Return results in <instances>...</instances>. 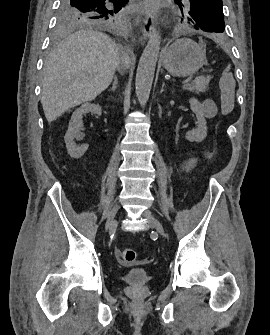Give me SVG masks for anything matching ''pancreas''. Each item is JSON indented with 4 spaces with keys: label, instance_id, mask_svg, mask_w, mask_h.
Here are the masks:
<instances>
[{
    "label": "pancreas",
    "instance_id": "pancreas-1",
    "mask_svg": "<svg viewBox=\"0 0 270 335\" xmlns=\"http://www.w3.org/2000/svg\"><path fill=\"white\" fill-rule=\"evenodd\" d=\"M211 78H213V76H206V78L205 76H198V78H195L191 84H187L185 90L197 92V94H199V92H206Z\"/></svg>",
    "mask_w": 270,
    "mask_h": 335
}]
</instances>
